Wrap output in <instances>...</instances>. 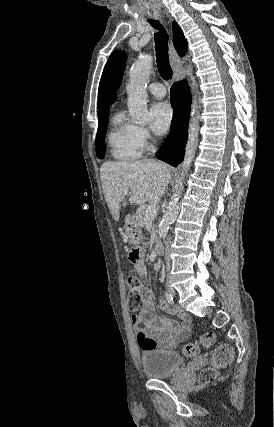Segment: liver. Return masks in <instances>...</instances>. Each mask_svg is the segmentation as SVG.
Wrapping results in <instances>:
<instances>
[{"instance_id":"1","label":"liver","mask_w":274,"mask_h":427,"mask_svg":"<svg viewBox=\"0 0 274 427\" xmlns=\"http://www.w3.org/2000/svg\"><path fill=\"white\" fill-rule=\"evenodd\" d=\"M172 170L166 164L141 160V162H104L100 168V178L104 198L112 217L118 221L120 204L126 200L128 192L130 204L144 206L162 196Z\"/></svg>"}]
</instances>
